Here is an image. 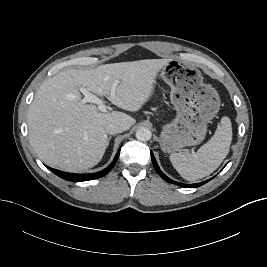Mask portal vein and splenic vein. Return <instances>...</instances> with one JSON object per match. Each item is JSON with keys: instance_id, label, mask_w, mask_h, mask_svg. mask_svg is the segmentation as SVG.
Returning a JSON list of instances; mask_svg holds the SVG:
<instances>
[{"instance_id": "obj_1", "label": "portal vein and splenic vein", "mask_w": 267, "mask_h": 267, "mask_svg": "<svg viewBox=\"0 0 267 267\" xmlns=\"http://www.w3.org/2000/svg\"><path fill=\"white\" fill-rule=\"evenodd\" d=\"M117 82L114 83L111 89V96L114 97L115 95V89L117 86ZM80 92L85 96L82 100L81 103H94L98 106V109L101 112H106L107 106L105 105V102L102 101L100 98H98L96 95L90 93L85 87L80 88Z\"/></svg>"}]
</instances>
